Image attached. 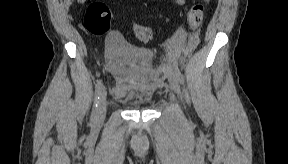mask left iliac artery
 Instances as JSON below:
<instances>
[{
    "instance_id": "left-iliac-artery-1",
    "label": "left iliac artery",
    "mask_w": 288,
    "mask_h": 164,
    "mask_svg": "<svg viewBox=\"0 0 288 164\" xmlns=\"http://www.w3.org/2000/svg\"><path fill=\"white\" fill-rule=\"evenodd\" d=\"M174 76L180 82V84L184 83V77L178 70H175Z\"/></svg>"
}]
</instances>
